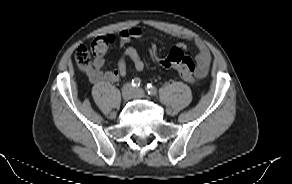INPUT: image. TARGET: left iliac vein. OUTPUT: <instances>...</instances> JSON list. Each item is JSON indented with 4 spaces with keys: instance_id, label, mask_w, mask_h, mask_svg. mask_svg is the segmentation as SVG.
Here are the masks:
<instances>
[{
    "instance_id": "obj_1",
    "label": "left iliac vein",
    "mask_w": 292,
    "mask_h": 184,
    "mask_svg": "<svg viewBox=\"0 0 292 184\" xmlns=\"http://www.w3.org/2000/svg\"><path fill=\"white\" fill-rule=\"evenodd\" d=\"M133 97L136 98V99H143V98L146 97V93H145V91L143 89L138 88V89L134 90Z\"/></svg>"
}]
</instances>
